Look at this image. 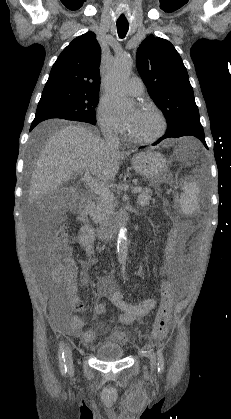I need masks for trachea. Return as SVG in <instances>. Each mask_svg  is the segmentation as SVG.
Listing matches in <instances>:
<instances>
[{
    "label": "trachea",
    "instance_id": "obj_1",
    "mask_svg": "<svg viewBox=\"0 0 231 419\" xmlns=\"http://www.w3.org/2000/svg\"><path fill=\"white\" fill-rule=\"evenodd\" d=\"M129 23L128 22H117V31L120 38H124L128 32Z\"/></svg>",
    "mask_w": 231,
    "mask_h": 419
}]
</instances>
